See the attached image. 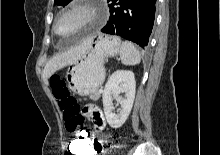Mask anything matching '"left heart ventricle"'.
I'll use <instances>...</instances> for the list:
<instances>
[{"label": "left heart ventricle", "mask_w": 220, "mask_h": 155, "mask_svg": "<svg viewBox=\"0 0 220 155\" xmlns=\"http://www.w3.org/2000/svg\"><path fill=\"white\" fill-rule=\"evenodd\" d=\"M82 20V16L79 14L66 15L57 22V32L61 36H68L79 28Z\"/></svg>", "instance_id": "obj_1"}]
</instances>
